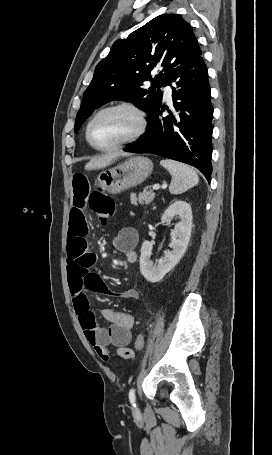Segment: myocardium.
Returning a JSON list of instances; mask_svg holds the SVG:
<instances>
[{"label": "myocardium", "mask_w": 272, "mask_h": 455, "mask_svg": "<svg viewBox=\"0 0 272 455\" xmlns=\"http://www.w3.org/2000/svg\"><path fill=\"white\" fill-rule=\"evenodd\" d=\"M119 109L128 110L135 116L136 121H137V127H136L135 131L127 138L121 140L120 142H118L112 146L99 147V146L95 145L91 138V128H92V125L95 122V120L105 112L119 110ZM146 129H147V117H146V113L144 112V110L141 109L138 105H136L133 102L118 101V102L108 104V105L100 108L98 111H96L94 113V115L91 117V119L89 120V122L86 126V139H87V142L89 143V145L96 151L112 152V151H116L118 149H121L125 146H128V145L138 141L144 135V133L146 132Z\"/></svg>", "instance_id": "1"}]
</instances>
